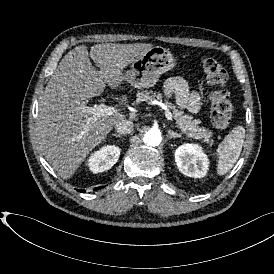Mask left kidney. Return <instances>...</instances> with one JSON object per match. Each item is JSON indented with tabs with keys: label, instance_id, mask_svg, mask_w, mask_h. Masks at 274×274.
Wrapping results in <instances>:
<instances>
[{
	"label": "left kidney",
	"instance_id": "1",
	"mask_svg": "<svg viewBox=\"0 0 274 274\" xmlns=\"http://www.w3.org/2000/svg\"><path fill=\"white\" fill-rule=\"evenodd\" d=\"M175 162L180 172L192 178L206 175L208 160L200 147L195 144H185L175 151Z\"/></svg>",
	"mask_w": 274,
	"mask_h": 274
}]
</instances>
